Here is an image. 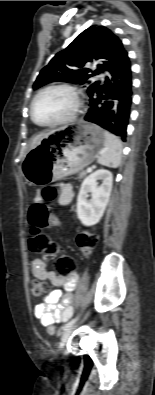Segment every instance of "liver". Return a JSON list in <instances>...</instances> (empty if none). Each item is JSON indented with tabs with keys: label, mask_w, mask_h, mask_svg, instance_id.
<instances>
[{
	"label": "liver",
	"mask_w": 155,
	"mask_h": 395,
	"mask_svg": "<svg viewBox=\"0 0 155 395\" xmlns=\"http://www.w3.org/2000/svg\"><path fill=\"white\" fill-rule=\"evenodd\" d=\"M53 132L54 131H49V132L41 133V134H38L37 136H35L32 140L31 148L36 147L43 139L48 138V136L50 134H52Z\"/></svg>",
	"instance_id": "obj_1"
}]
</instances>
